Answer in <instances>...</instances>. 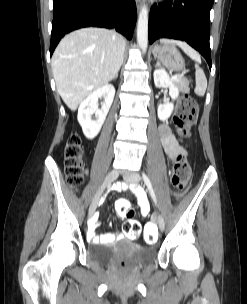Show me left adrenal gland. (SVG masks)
I'll return each instance as SVG.
<instances>
[{
	"label": "left adrenal gland",
	"mask_w": 247,
	"mask_h": 304,
	"mask_svg": "<svg viewBox=\"0 0 247 304\" xmlns=\"http://www.w3.org/2000/svg\"><path fill=\"white\" fill-rule=\"evenodd\" d=\"M160 66V62H156V67H159Z\"/></svg>",
	"instance_id": "obj_1"
}]
</instances>
